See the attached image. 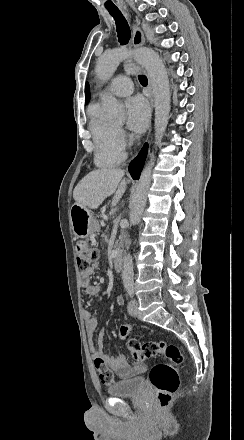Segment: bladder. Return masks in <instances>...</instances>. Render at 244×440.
I'll return each instance as SVG.
<instances>
[{"label": "bladder", "mask_w": 244, "mask_h": 440, "mask_svg": "<svg viewBox=\"0 0 244 440\" xmlns=\"http://www.w3.org/2000/svg\"><path fill=\"white\" fill-rule=\"evenodd\" d=\"M145 389L143 377H133L123 381L115 382L108 388V394L117 396L140 395Z\"/></svg>", "instance_id": "bladder-1"}]
</instances>
